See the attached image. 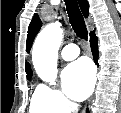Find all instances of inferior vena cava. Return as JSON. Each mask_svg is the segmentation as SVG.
<instances>
[{"label":"inferior vena cava","mask_w":121,"mask_h":113,"mask_svg":"<svg viewBox=\"0 0 121 113\" xmlns=\"http://www.w3.org/2000/svg\"><path fill=\"white\" fill-rule=\"evenodd\" d=\"M78 105L77 104H73V108L77 109Z\"/></svg>","instance_id":"602c4592"}]
</instances>
